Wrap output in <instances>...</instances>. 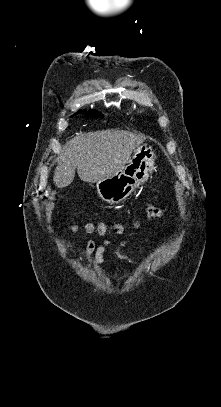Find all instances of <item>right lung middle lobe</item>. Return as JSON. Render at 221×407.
<instances>
[{
	"label": "right lung middle lobe",
	"mask_w": 221,
	"mask_h": 407,
	"mask_svg": "<svg viewBox=\"0 0 221 407\" xmlns=\"http://www.w3.org/2000/svg\"><path fill=\"white\" fill-rule=\"evenodd\" d=\"M82 113L86 116H91V117H102V114L97 113L95 110H91V111H86V110H79L76 114Z\"/></svg>",
	"instance_id": "1"
}]
</instances>
